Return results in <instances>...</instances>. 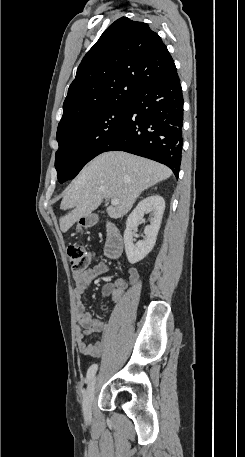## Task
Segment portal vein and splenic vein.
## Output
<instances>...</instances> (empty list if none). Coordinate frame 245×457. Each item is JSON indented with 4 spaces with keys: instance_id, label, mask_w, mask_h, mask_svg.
<instances>
[{
    "instance_id": "obj_1",
    "label": "portal vein and splenic vein",
    "mask_w": 245,
    "mask_h": 457,
    "mask_svg": "<svg viewBox=\"0 0 245 457\" xmlns=\"http://www.w3.org/2000/svg\"><path fill=\"white\" fill-rule=\"evenodd\" d=\"M111 204H119V198H111Z\"/></svg>"
}]
</instances>
